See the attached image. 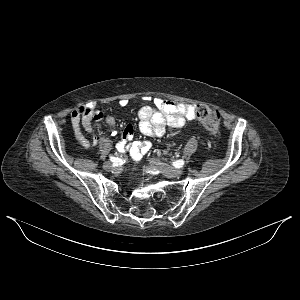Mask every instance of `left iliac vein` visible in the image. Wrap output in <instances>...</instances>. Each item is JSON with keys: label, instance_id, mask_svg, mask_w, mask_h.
<instances>
[{"label": "left iliac vein", "instance_id": "1", "mask_svg": "<svg viewBox=\"0 0 300 300\" xmlns=\"http://www.w3.org/2000/svg\"><path fill=\"white\" fill-rule=\"evenodd\" d=\"M150 165L156 169H158L159 171H161L166 177L169 178H174V177H178L181 176L183 174V170L182 169H177V168H173L169 165H166L164 163H161L159 161H157L156 159L151 158L149 160Z\"/></svg>", "mask_w": 300, "mask_h": 300}]
</instances>
